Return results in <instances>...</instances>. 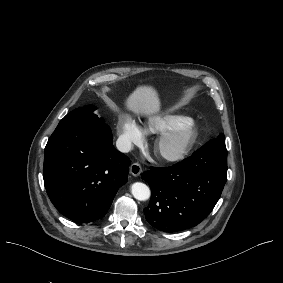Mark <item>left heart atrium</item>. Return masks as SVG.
Masks as SVG:
<instances>
[{
	"instance_id": "obj_1",
	"label": "left heart atrium",
	"mask_w": 283,
	"mask_h": 283,
	"mask_svg": "<svg viewBox=\"0 0 283 283\" xmlns=\"http://www.w3.org/2000/svg\"><path fill=\"white\" fill-rule=\"evenodd\" d=\"M149 155L152 157H160V153L157 147H153L149 150Z\"/></svg>"
}]
</instances>
